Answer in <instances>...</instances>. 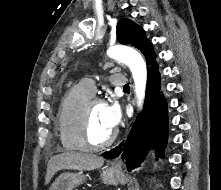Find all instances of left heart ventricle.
<instances>
[{
	"instance_id": "left-heart-ventricle-1",
	"label": "left heart ventricle",
	"mask_w": 221,
	"mask_h": 190,
	"mask_svg": "<svg viewBox=\"0 0 221 190\" xmlns=\"http://www.w3.org/2000/svg\"><path fill=\"white\" fill-rule=\"evenodd\" d=\"M113 130L106 123L104 115V104L95 105L90 114L89 136L93 143L106 140Z\"/></svg>"
}]
</instances>
